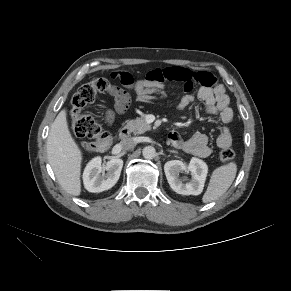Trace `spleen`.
I'll return each instance as SVG.
<instances>
[{"instance_id": "spleen-1", "label": "spleen", "mask_w": 291, "mask_h": 291, "mask_svg": "<svg viewBox=\"0 0 291 291\" xmlns=\"http://www.w3.org/2000/svg\"><path fill=\"white\" fill-rule=\"evenodd\" d=\"M237 173V165L230 162L216 168L210 178L209 185L202 197L204 203H209L221 197L232 185Z\"/></svg>"}]
</instances>
